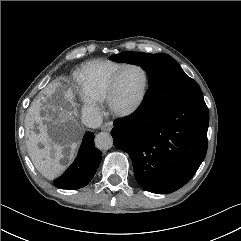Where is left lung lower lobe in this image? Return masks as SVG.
<instances>
[{
	"instance_id": "left-lung-lower-lobe-1",
	"label": "left lung lower lobe",
	"mask_w": 241,
	"mask_h": 241,
	"mask_svg": "<svg viewBox=\"0 0 241 241\" xmlns=\"http://www.w3.org/2000/svg\"><path fill=\"white\" fill-rule=\"evenodd\" d=\"M209 111L203 95L178 101L154 85L130 116L114 121V145L129 154L139 184L167 194L184 186L207 151Z\"/></svg>"
}]
</instances>
